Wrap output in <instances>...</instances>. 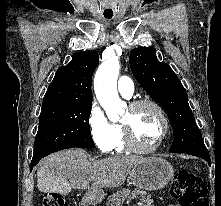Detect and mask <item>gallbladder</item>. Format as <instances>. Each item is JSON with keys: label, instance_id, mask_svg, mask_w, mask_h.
<instances>
[{"label": "gallbladder", "instance_id": "1", "mask_svg": "<svg viewBox=\"0 0 221 206\" xmlns=\"http://www.w3.org/2000/svg\"><path fill=\"white\" fill-rule=\"evenodd\" d=\"M69 181H38V190H44V194H67Z\"/></svg>", "mask_w": 221, "mask_h": 206}]
</instances>
